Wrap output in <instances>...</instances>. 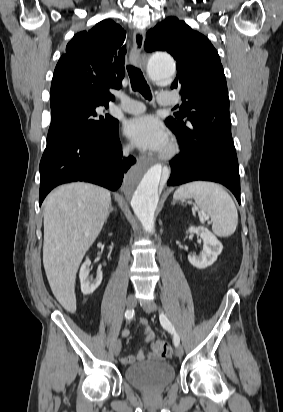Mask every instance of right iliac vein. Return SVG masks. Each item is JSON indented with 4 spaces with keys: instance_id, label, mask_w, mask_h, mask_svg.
Listing matches in <instances>:
<instances>
[{
    "instance_id": "obj_1",
    "label": "right iliac vein",
    "mask_w": 283,
    "mask_h": 412,
    "mask_svg": "<svg viewBox=\"0 0 283 412\" xmlns=\"http://www.w3.org/2000/svg\"><path fill=\"white\" fill-rule=\"evenodd\" d=\"M126 304H127V307H128V308L134 307V305H135V297H134V295H129V296H128L127 301H126ZM121 347H122L121 340H120V339H117V340L114 342V345H113V351H114V354H115L116 356H118V355L120 354Z\"/></svg>"
}]
</instances>
